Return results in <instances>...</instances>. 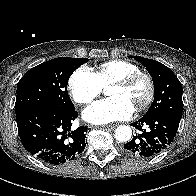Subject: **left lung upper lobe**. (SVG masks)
I'll list each match as a JSON object with an SVG mask.
<instances>
[{
	"label": "left lung upper lobe",
	"mask_w": 196,
	"mask_h": 196,
	"mask_svg": "<svg viewBox=\"0 0 196 196\" xmlns=\"http://www.w3.org/2000/svg\"><path fill=\"white\" fill-rule=\"evenodd\" d=\"M140 62L152 77L155 99L145 115L166 114L181 119L182 85L173 71L162 63L141 56H129Z\"/></svg>",
	"instance_id": "1"
}]
</instances>
